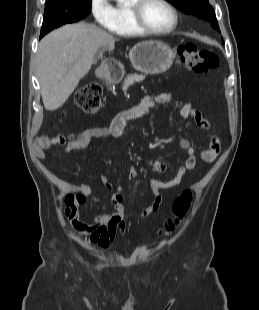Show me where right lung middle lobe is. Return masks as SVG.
<instances>
[{
	"label": "right lung middle lobe",
	"instance_id": "dd1d6c3e",
	"mask_svg": "<svg viewBox=\"0 0 259 310\" xmlns=\"http://www.w3.org/2000/svg\"><path fill=\"white\" fill-rule=\"evenodd\" d=\"M91 11V0L66 1L45 4L44 20L40 37L67 23H74L86 17Z\"/></svg>",
	"mask_w": 259,
	"mask_h": 310
}]
</instances>
